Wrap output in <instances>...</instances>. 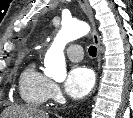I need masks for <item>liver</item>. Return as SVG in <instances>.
Returning <instances> with one entry per match:
<instances>
[{
    "mask_svg": "<svg viewBox=\"0 0 133 118\" xmlns=\"http://www.w3.org/2000/svg\"><path fill=\"white\" fill-rule=\"evenodd\" d=\"M5 118H48V113L35 107L13 106L3 115Z\"/></svg>",
    "mask_w": 133,
    "mask_h": 118,
    "instance_id": "6515ba94",
    "label": "liver"
}]
</instances>
